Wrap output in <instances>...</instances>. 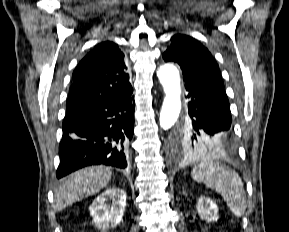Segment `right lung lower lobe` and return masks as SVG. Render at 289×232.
Here are the masks:
<instances>
[{"instance_id": "obj_1", "label": "right lung lower lobe", "mask_w": 289, "mask_h": 232, "mask_svg": "<svg viewBox=\"0 0 289 232\" xmlns=\"http://www.w3.org/2000/svg\"><path fill=\"white\" fill-rule=\"evenodd\" d=\"M132 92L67 111L57 178L94 164L127 167L128 142L134 133Z\"/></svg>"}]
</instances>
